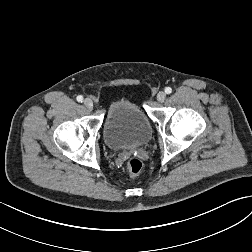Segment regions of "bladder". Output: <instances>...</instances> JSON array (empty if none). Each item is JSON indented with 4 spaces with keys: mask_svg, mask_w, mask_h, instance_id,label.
I'll return each mask as SVG.
<instances>
[{
    "mask_svg": "<svg viewBox=\"0 0 252 252\" xmlns=\"http://www.w3.org/2000/svg\"><path fill=\"white\" fill-rule=\"evenodd\" d=\"M103 136L109 149L126 150L146 144L151 139L152 127L133 101L119 99L107 108Z\"/></svg>",
    "mask_w": 252,
    "mask_h": 252,
    "instance_id": "bladder-1",
    "label": "bladder"
}]
</instances>
